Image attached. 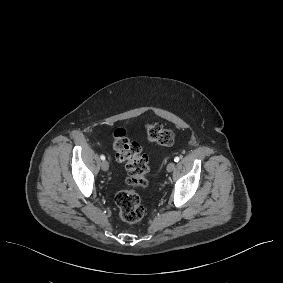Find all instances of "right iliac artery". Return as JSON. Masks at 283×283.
I'll list each match as a JSON object with an SVG mask.
<instances>
[{
    "instance_id": "1",
    "label": "right iliac artery",
    "mask_w": 283,
    "mask_h": 283,
    "mask_svg": "<svg viewBox=\"0 0 283 283\" xmlns=\"http://www.w3.org/2000/svg\"><path fill=\"white\" fill-rule=\"evenodd\" d=\"M100 158H101V160H105V156L104 155H101Z\"/></svg>"
}]
</instances>
